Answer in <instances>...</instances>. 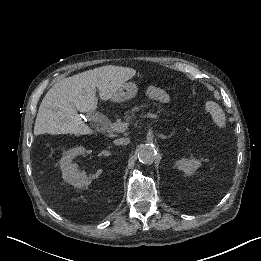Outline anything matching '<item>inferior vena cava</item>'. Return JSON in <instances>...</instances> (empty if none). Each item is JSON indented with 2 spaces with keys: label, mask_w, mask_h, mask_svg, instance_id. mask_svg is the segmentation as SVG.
Segmentation results:
<instances>
[{
  "label": "inferior vena cava",
  "mask_w": 261,
  "mask_h": 261,
  "mask_svg": "<svg viewBox=\"0 0 261 261\" xmlns=\"http://www.w3.org/2000/svg\"><path fill=\"white\" fill-rule=\"evenodd\" d=\"M116 142L119 145L128 144L130 142V139L129 138H120V139H117Z\"/></svg>",
  "instance_id": "1"
}]
</instances>
